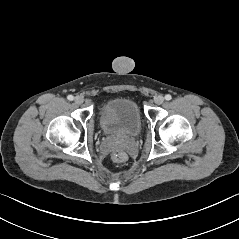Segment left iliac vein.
<instances>
[{
	"instance_id": "obj_1",
	"label": "left iliac vein",
	"mask_w": 239,
	"mask_h": 239,
	"mask_svg": "<svg viewBox=\"0 0 239 239\" xmlns=\"http://www.w3.org/2000/svg\"><path fill=\"white\" fill-rule=\"evenodd\" d=\"M154 102L157 105H161L164 102V97L162 95H158L155 97Z\"/></svg>"
}]
</instances>
